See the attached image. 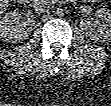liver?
<instances>
[{"label":"liver","instance_id":"1","mask_svg":"<svg viewBox=\"0 0 111 106\" xmlns=\"http://www.w3.org/2000/svg\"><path fill=\"white\" fill-rule=\"evenodd\" d=\"M8 6H9V1L8 0H1L0 1V7H1L2 11H4Z\"/></svg>","mask_w":111,"mask_h":106}]
</instances>
